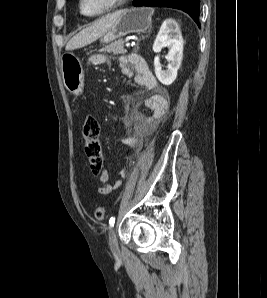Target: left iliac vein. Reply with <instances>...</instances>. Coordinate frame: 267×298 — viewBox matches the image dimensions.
<instances>
[{"mask_svg":"<svg viewBox=\"0 0 267 298\" xmlns=\"http://www.w3.org/2000/svg\"><path fill=\"white\" fill-rule=\"evenodd\" d=\"M109 245L114 254L119 253L117 236L114 228H111L109 233Z\"/></svg>","mask_w":267,"mask_h":298,"instance_id":"obj_1","label":"left iliac vein"}]
</instances>
